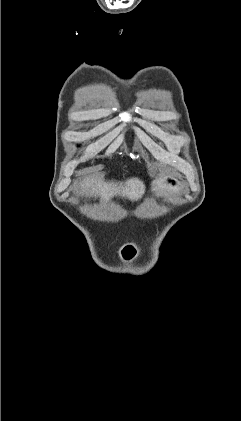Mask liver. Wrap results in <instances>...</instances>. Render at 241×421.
Segmentation results:
<instances>
[{
	"label": "liver",
	"instance_id": "obj_1",
	"mask_svg": "<svg viewBox=\"0 0 241 421\" xmlns=\"http://www.w3.org/2000/svg\"><path fill=\"white\" fill-rule=\"evenodd\" d=\"M84 193H90L95 197L103 200H109L113 196H122L131 201H137L142 198L145 193V185L138 178L128 179L125 183H109L101 179L88 178L82 184Z\"/></svg>",
	"mask_w": 241,
	"mask_h": 421
}]
</instances>
